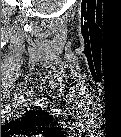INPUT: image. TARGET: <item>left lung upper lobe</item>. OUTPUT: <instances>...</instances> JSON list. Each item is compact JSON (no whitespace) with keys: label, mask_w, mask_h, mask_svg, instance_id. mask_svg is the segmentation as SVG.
Returning a JSON list of instances; mask_svg holds the SVG:
<instances>
[{"label":"left lung upper lobe","mask_w":121,"mask_h":137,"mask_svg":"<svg viewBox=\"0 0 121 137\" xmlns=\"http://www.w3.org/2000/svg\"><path fill=\"white\" fill-rule=\"evenodd\" d=\"M58 129V124L56 123L53 116L49 115L45 111L33 110L26 114V117L21 120H16L12 123L4 125L1 127V135H4L13 131H21L22 133H53ZM13 134V133H12Z\"/></svg>","instance_id":"1"}]
</instances>
